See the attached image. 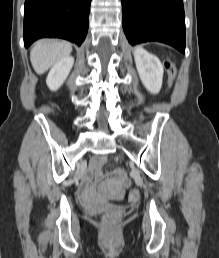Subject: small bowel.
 <instances>
[{"instance_id":"c3829d8e","label":"small bowel","mask_w":219,"mask_h":258,"mask_svg":"<svg viewBox=\"0 0 219 258\" xmlns=\"http://www.w3.org/2000/svg\"><path fill=\"white\" fill-rule=\"evenodd\" d=\"M105 158L104 157H96L93 159L92 164H91V172L95 174L96 178L101 180L102 175H101V166L104 162ZM128 172L127 171H118L117 174H113V179H122L124 184H132L133 180L132 179H125L124 176H127ZM96 193V188L94 185L90 182L89 177L86 178L82 185V197L85 199H93Z\"/></svg>"}]
</instances>
